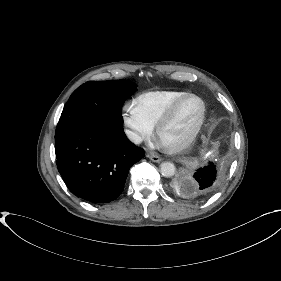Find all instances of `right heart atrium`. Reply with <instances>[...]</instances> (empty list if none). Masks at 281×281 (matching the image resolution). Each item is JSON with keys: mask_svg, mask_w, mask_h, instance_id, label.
I'll return each instance as SVG.
<instances>
[{"mask_svg": "<svg viewBox=\"0 0 281 281\" xmlns=\"http://www.w3.org/2000/svg\"><path fill=\"white\" fill-rule=\"evenodd\" d=\"M123 122L134 142H140L151 136L153 128L146 122L135 102H126L122 108Z\"/></svg>", "mask_w": 281, "mask_h": 281, "instance_id": "right-heart-atrium-1", "label": "right heart atrium"}]
</instances>
